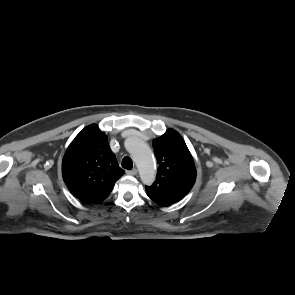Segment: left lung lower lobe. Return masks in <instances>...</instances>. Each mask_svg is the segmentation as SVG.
I'll return each mask as SVG.
<instances>
[{
	"label": "left lung lower lobe",
	"mask_w": 295,
	"mask_h": 295,
	"mask_svg": "<svg viewBox=\"0 0 295 295\" xmlns=\"http://www.w3.org/2000/svg\"><path fill=\"white\" fill-rule=\"evenodd\" d=\"M148 197L156 204L160 205V206H169L173 203L165 201L157 196L151 195V194H147Z\"/></svg>",
	"instance_id": "left-lung-lower-lobe-1"
}]
</instances>
